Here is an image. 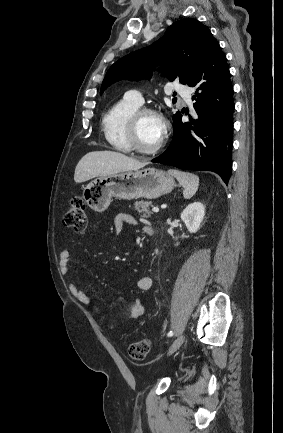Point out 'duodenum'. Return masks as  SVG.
<instances>
[{
  "mask_svg": "<svg viewBox=\"0 0 283 433\" xmlns=\"http://www.w3.org/2000/svg\"><path fill=\"white\" fill-rule=\"evenodd\" d=\"M157 229L156 228H154V227H150V228H148L147 229V233L149 234V235H156L157 234Z\"/></svg>",
  "mask_w": 283,
  "mask_h": 433,
  "instance_id": "410a0bca",
  "label": "duodenum"
}]
</instances>
